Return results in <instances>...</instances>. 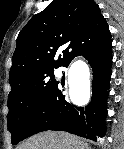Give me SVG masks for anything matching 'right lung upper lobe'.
Segmentation results:
<instances>
[{"instance_id": "right-lung-upper-lobe-1", "label": "right lung upper lobe", "mask_w": 124, "mask_h": 149, "mask_svg": "<svg viewBox=\"0 0 124 149\" xmlns=\"http://www.w3.org/2000/svg\"><path fill=\"white\" fill-rule=\"evenodd\" d=\"M109 38L108 25L94 0H53L17 37L9 74L11 88L38 72L67 67L74 57Z\"/></svg>"}]
</instances>
